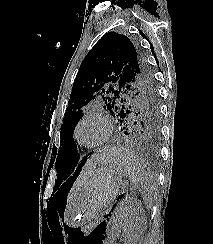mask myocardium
I'll list each match as a JSON object with an SVG mask.
<instances>
[{"mask_svg":"<svg viewBox=\"0 0 213 244\" xmlns=\"http://www.w3.org/2000/svg\"><path fill=\"white\" fill-rule=\"evenodd\" d=\"M90 120H95V121H99L103 126H104V136L103 138L98 141L97 143L94 144H86L83 143L80 138H79V129L80 127L87 121ZM113 132V124L112 121L110 119V117L108 115H106L105 113L99 111V112H91V113H87L85 114L76 124L75 129H74V138L76 140V142L84 147L87 148H95V147H99L102 146L103 144H105L111 137Z\"/></svg>","mask_w":213,"mask_h":244,"instance_id":"1","label":"myocardium"}]
</instances>
